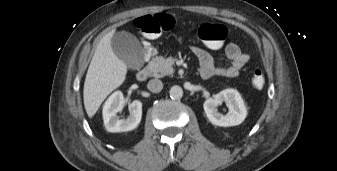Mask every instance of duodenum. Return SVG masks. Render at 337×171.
<instances>
[{"mask_svg":"<svg viewBox=\"0 0 337 171\" xmlns=\"http://www.w3.org/2000/svg\"><path fill=\"white\" fill-rule=\"evenodd\" d=\"M149 75L150 69L148 67H144L137 72L136 77L139 81H145L148 79Z\"/></svg>","mask_w":337,"mask_h":171,"instance_id":"410a0bca","label":"duodenum"}]
</instances>
